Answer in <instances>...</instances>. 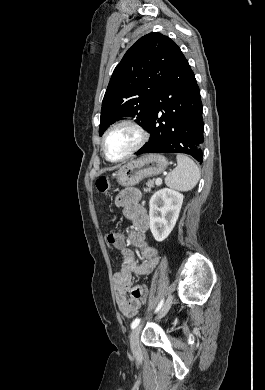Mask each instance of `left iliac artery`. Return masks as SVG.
Here are the masks:
<instances>
[{
	"label": "left iliac artery",
	"mask_w": 265,
	"mask_h": 390,
	"mask_svg": "<svg viewBox=\"0 0 265 390\" xmlns=\"http://www.w3.org/2000/svg\"><path fill=\"white\" fill-rule=\"evenodd\" d=\"M163 303H164V300L162 299V300L160 301V303L158 304V306H157L155 312H158V311L161 309V307L163 306ZM140 320H141L140 318H136V319L132 322V324H131V329H135V328L139 325Z\"/></svg>",
	"instance_id": "obj_1"
}]
</instances>
